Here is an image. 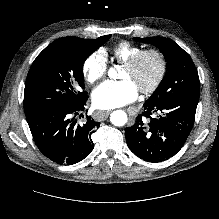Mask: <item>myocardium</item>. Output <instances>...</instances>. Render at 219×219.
Segmentation results:
<instances>
[{
    "instance_id": "1",
    "label": "myocardium",
    "mask_w": 219,
    "mask_h": 219,
    "mask_svg": "<svg viewBox=\"0 0 219 219\" xmlns=\"http://www.w3.org/2000/svg\"><path fill=\"white\" fill-rule=\"evenodd\" d=\"M150 55L154 56L158 61V72L155 79L149 86L139 89L140 93L144 95H150L154 93L160 87V85L162 84L165 78L168 64L164 53L156 48L143 49L139 53H137L134 57H132L129 61L123 64V66L128 70H135L139 66L141 61Z\"/></svg>"
}]
</instances>
